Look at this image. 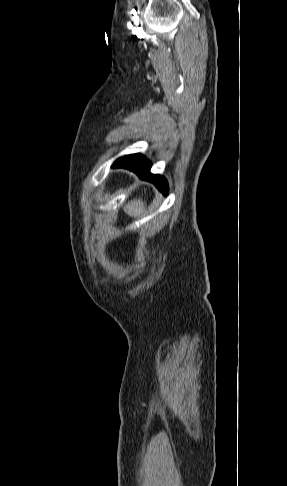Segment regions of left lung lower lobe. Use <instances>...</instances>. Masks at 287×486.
Listing matches in <instances>:
<instances>
[{
	"label": "left lung lower lobe",
	"mask_w": 287,
	"mask_h": 486,
	"mask_svg": "<svg viewBox=\"0 0 287 486\" xmlns=\"http://www.w3.org/2000/svg\"><path fill=\"white\" fill-rule=\"evenodd\" d=\"M112 167L129 169L140 178L153 183L164 195L168 193L167 181L162 176L150 173L151 163L143 155L131 154L124 156L117 159Z\"/></svg>",
	"instance_id": "obj_1"
}]
</instances>
